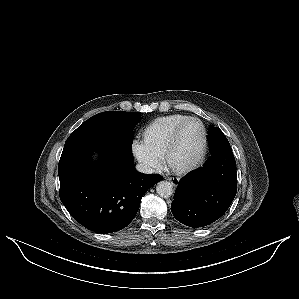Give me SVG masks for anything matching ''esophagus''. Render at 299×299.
I'll list each match as a JSON object with an SVG mask.
<instances>
[{
	"label": "esophagus",
	"instance_id": "34e87169",
	"mask_svg": "<svg viewBox=\"0 0 299 299\" xmlns=\"http://www.w3.org/2000/svg\"><path fill=\"white\" fill-rule=\"evenodd\" d=\"M167 180H168L169 182H171V184H172L174 187H177L178 184H179V179H177V178H167Z\"/></svg>",
	"mask_w": 299,
	"mask_h": 299
}]
</instances>
